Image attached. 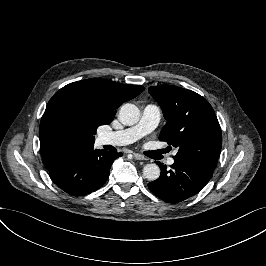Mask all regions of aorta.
<instances>
[{"label":"aorta","instance_id":"aorta-1","mask_svg":"<svg viewBox=\"0 0 266 266\" xmlns=\"http://www.w3.org/2000/svg\"><path fill=\"white\" fill-rule=\"evenodd\" d=\"M119 120L126 126H132L140 120V110L137 106L127 103L121 106L119 111ZM161 170L155 163L144 166L143 176L149 181H155L160 177Z\"/></svg>","mask_w":266,"mask_h":266}]
</instances>
